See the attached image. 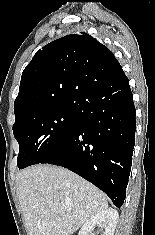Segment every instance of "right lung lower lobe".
I'll return each instance as SVG.
<instances>
[{"mask_svg":"<svg viewBox=\"0 0 155 235\" xmlns=\"http://www.w3.org/2000/svg\"><path fill=\"white\" fill-rule=\"evenodd\" d=\"M135 107L126 75L95 86L78 105L79 127L39 163L63 166L104 191L120 208L135 145Z\"/></svg>","mask_w":155,"mask_h":235,"instance_id":"right-lung-lower-lobe-1","label":"right lung lower lobe"}]
</instances>
